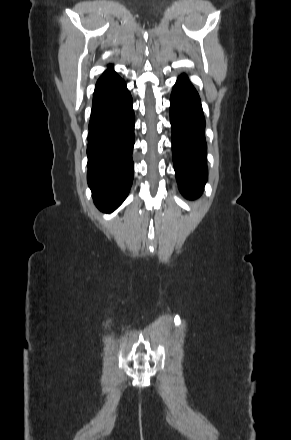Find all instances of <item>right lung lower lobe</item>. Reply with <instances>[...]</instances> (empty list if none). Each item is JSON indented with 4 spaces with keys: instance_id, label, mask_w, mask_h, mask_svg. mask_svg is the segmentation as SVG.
<instances>
[{
    "instance_id": "98d812e1",
    "label": "right lung lower lobe",
    "mask_w": 291,
    "mask_h": 440,
    "mask_svg": "<svg viewBox=\"0 0 291 440\" xmlns=\"http://www.w3.org/2000/svg\"><path fill=\"white\" fill-rule=\"evenodd\" d=\"M125 82L109 68L98 79L88 135V185L96 206L114 211L133 181L135 117Z\"/></svg>"
}]
</instances>
